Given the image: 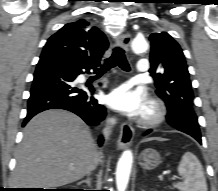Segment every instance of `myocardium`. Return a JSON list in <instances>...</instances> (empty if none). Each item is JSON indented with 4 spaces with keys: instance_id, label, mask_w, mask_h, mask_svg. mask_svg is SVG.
I'll list each match as a JSON object with an SVG mask.
<instances>
[{
    "instance_id": "1",
    "label": "myocardium",
    "mask_w": 218,
    "mask_h": 191,
    "mask_svg": "<svg viewBox=\"0 0 218 191\" xmlns=\"http://www.w3.org/2000/svg\"><path fill=\"white\" fill-rule=\"evenodd\" d=\"M166 116L165 104L157 98H152L148 101L146 111L139 118V124L143 127H154L161 124Z\"/></svg>"
}]
</instances>
